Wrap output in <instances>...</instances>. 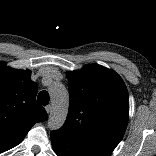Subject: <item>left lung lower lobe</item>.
<instances>
[{"label": "left lung lower lobe", "mask_w": 156, "mask_h": 156, "mask_svg": "<svg viewBox=\"0 0 156 156\" xmlns=\"http://www.w3.org/2000/svg\"><path fill=\"white\" fill-rule=\"evenodd\" d=\"M52 146L58 156H104L101 153L76 145L66 138L51 133Z\"/></svg>", "instance_id": "obj_1"}]
</instances>
